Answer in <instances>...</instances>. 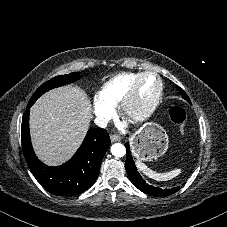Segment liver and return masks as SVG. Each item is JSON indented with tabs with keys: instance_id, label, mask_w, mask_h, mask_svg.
Here are the masks:
<instances>
[{
	"instance_id": "6515ba94",
	"label": "liver",
	"mask_w": 227,
	"mask_h": 227,
	"mask_svg": "<svg viewBox=\"0 0 227 227\" xmlns=\"http://www.w3.org/2000/svg\"><path fill=\"white\" fill-rule=\"evenodd\" d=\"M92 118L87 94L79 87L50 90L33 105L30 132L33 148L47 165L70 159L81 145Z\"/></svg>"
}]
</instances>
